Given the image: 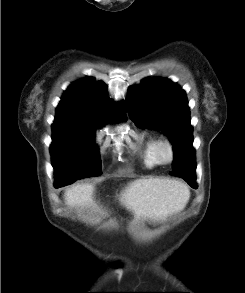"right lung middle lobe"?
<instances>
[{
    "mask_svg": "<svg viewBox=\"0 0 245 293\" xmlns=\"http://www.w3.org/2000/svg\"><path fill=\"white\" fill-rule=\"evenodd\" d=\"M94 130L73 124L52 125L50 152L55 184L59 187L102 174L99 153L93 142Z\"/></svg>",
    "mask_w": 245,
    "mask_h": 293,
    "instance_id": "dd1d6c3e",
    "label": "right lung middle lobe"
}]
</instances>
